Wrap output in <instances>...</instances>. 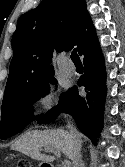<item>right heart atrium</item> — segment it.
Masks as SVG:
<instances>
[{
    "instance_id": "1",
    "label": "right heart atrium",
    "mask_w": 125,
    "mask_h": 167,
    "mask_svg": "<svg viewBox=\"0 0 125 167\" xmlns=\"http://www.w3.org/2000/svg\"><path fill=\"white\" fill-rule=\"evenodd\" d=\"M57 93L52 85L44 88L35 99V107L41 113H49L57 107Z\"/></svg>"
}]
</instances>
